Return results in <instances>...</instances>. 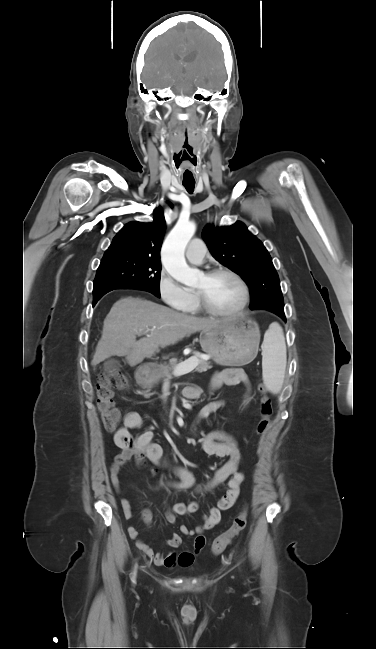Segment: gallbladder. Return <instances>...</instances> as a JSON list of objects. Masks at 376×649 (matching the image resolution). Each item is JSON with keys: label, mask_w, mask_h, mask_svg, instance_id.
<instances>
[{"label": "gallbladder", "mask_w": 376, "mask_h": 649, "mask_svg": "<svg viewBox=\"0 0 376 649\" xmlns=\"http://www.w3.org/2000/svg\"><path fill=\"white\" fill-rule=\"evenodd\" d=\"M119 366H120L119 362L114 360V359L107 360L104 363V369L108 373H113L114 371H116L118 369Z\"/></svg>", "instance_id": "1"}]
</instances>
